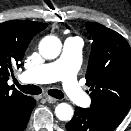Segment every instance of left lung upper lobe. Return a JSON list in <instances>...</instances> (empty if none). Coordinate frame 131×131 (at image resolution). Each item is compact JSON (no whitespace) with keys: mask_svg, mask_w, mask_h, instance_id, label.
Segmentation results:
<instances>
[{"mask_svg":"<svg viewBox=\"0 0 131 131\" xmlns=\"http://www.w3.org/2000/svg\"><path fill=\"white\" fill-rule=\"evenodd\" d=\"M93 39L86 85L90 87V108L109 128L115 129L131 107V48L117 32L88 22Z\"/></svg>","mask_w":131,"mask_h":131,"instance_id":"left-lung-upper-lobe-1","label":"left lung upper lobe"}]
</instances>
